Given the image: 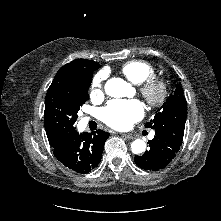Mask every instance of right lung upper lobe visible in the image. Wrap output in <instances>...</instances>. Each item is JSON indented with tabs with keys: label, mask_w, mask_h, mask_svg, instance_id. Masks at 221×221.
<instances>
[{
	"label": "right lung upper lobe",
	"mask_w": 221,
	"mask_h": 221,
	"mask_svg": "<svg viewBox=\"0 0 221 221\" xmlns=\"http://www.w3.org/2000/svg\"><path fill=\"white\" fill-rule=\"evenodd\" d=\"M100 68L97 62L87 59H75L61 67L56 73L49 89L74 86L80 79L92 77V71ZM50 142L52 146L63 142Z\"/></svg>",
	"instance_id": "right-lung-upper-lobe-1"
}]
</instances>
